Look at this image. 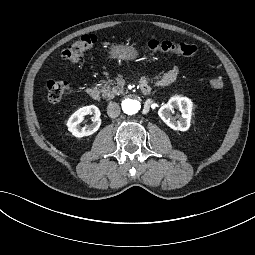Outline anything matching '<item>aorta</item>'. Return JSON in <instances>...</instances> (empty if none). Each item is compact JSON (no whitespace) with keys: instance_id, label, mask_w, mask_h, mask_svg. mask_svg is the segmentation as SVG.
I'll list each match as a JSON object with an SVG mask.
<instances>
[{"instance_id":"aorta-1","label":"aorta","mask_w":255,"mask_h":255,"mask_svg":"<svg viewBox=\"0 0 255 255\" xmlns=\"http://www.w3.org/2000/svg\"><path fill=\"white\" fill-rule=\"evenodd\" d=\"M141 109V103L135 98H128L123 101V110L128 115H134Z\"/></svg>"}]
</instances>
